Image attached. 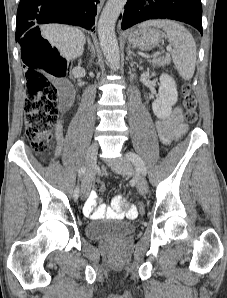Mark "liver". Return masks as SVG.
Instances as JSON below:
<instances>
[{"instance_id":"6515ba94","label":"liver","mask_w":227,"mask_h":298,"mask_svg":"<svg viewBox=\"0 0 227 298\" xmlns=\"http://www.w3.org/2000/svg\"><path fill=\"white\" fill-rule=\"evenodd\" d=\"M42 36L56 46L60 54L69 62L82 55L85 35L77 28L66 25L49 24L41 27Z\"/></svg>"}]
</instances>
